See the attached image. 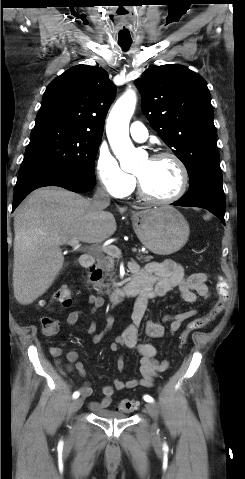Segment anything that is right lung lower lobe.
<instances>
[{
  "label": "right lung lower lobe",
  "instance_id": "1",
  "mask_svg": "<svg viewBox=\"0 0 245 479\" xmlns=\"http://www.w3.org/2000/svg\"><path fill=\"white\" fill-rule=\"evenodd\" d=\"M44 186H59L76 193H83L95 186V181L77 173L56 168H41L18 176L13 197V211L33 190Z\"/></svg>",
  "mask_w": 245,
  "mask_h": 479
}]
</instances>
